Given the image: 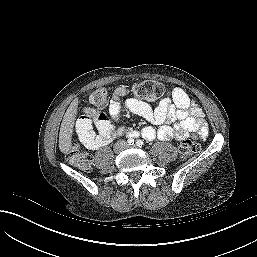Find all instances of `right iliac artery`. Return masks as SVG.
<instances>
[{
  "instance_id": "obj_1",
  "label": "right iliac artery",
  "mask_w": 257,
  "mask_h": 257,
  "mask_svg": "<svg viewBox=\"0 0 257 257\" xmlns=\"http://www.w3.org/2000/svg\"><path fill=\"white\" fill-rule=\"evenodd\" d=\"M128 145H133L134 144V139H132V138H130V139H128Z\"/></svg>"
}]
</instances>
